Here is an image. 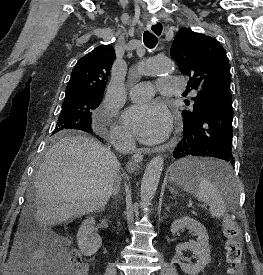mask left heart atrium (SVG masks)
<instances>
[{"mask_svg":"<svg viewBox=\"0 0 263 275\" xmlns=\"http://www.w3.org/2000/svg\"><path fill=\"white\" fill-rule=\"evenodd\" d=\"M127 129L141 142L156 144L171 131V116L158 102H141L129 107L124 114Z\"/></svg>","mask_w":263,"mask_h":275,"instance_id":"obj_1","label":"left heart atrium"}]
</instances>
